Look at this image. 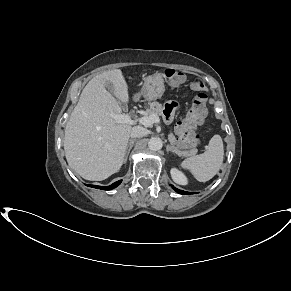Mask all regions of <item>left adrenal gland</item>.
Segmentation results:
<instances>
[{"mask_svg":"<svg viewBox=\"0 0 291 291\" xmlns=\"http://www.w3.org/2000/svg\"><path fill=\"white\" fill-rule=\"evenodd\" d=\"M166 150H167V152L171 151V152L176 153V154L179 155V153L175 150L173 145H167L166 146Z\"/></svg>","mask_w":291,"mask_h":291,"instance_id":"obj_1","label":"left adrenal gland"}]
</instances>
